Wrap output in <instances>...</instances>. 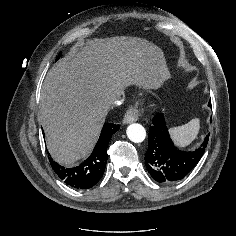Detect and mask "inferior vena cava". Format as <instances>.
<instances>
[{"label":"inferior vena cava","mask_w":236,"mask_h":236,"mask_svg":"<svg viewBox=\"0 0 236 236\" xmlns=\"http://www.w3.org/2000/svg\"><path fill=\"white\" fill-rule=\"evenodd\" d=\"M122 102H123V97H122L121 94H119V95L115 98V100L112 102V105L117 106V105L122 104Z\"/></svg>","instance_id":"inferior-vena-cava-1"}]
</instances>
